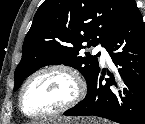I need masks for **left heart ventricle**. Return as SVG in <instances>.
I'll return each instance as SVG.
<instances>
[{"mask_svg": "<svg viewBox=\"0 0 145 124\" xmlns=\"http://www.w3.org/2000/svg\"><path fill=\"white\" fill-rule=\"evenodd\" d=\"M75 92L73 80L62 72H47L37 77L26 89L24 109L28 113H42L58 108Z\"/></svg>", "mask_w": 145, "mask_h": 124, "instance_id": "left-heart-ventricle-1", "label": "left heart ventricle"}]
</instances>
